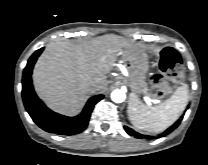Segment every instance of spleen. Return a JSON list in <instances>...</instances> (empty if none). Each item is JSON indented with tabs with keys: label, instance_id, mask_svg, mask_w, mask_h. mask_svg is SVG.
Returning <instances> with one entry per match:
<instances>
[{
	"label": "spleen",
	"instance_id": "3e777b00",
	"mask_svg": "<svg viewBox=\"0 0 208 165\" xmlns=\"http://www.w3.org/2000/svg\"><path fill=\"white\" fill-rule=\"evenodd\" d=\"M188 99L189 89L186 84L178 87L167 101L152 107L143 104L131 94L127 110L128 118L137 129L162 132L178 120Z\"/></svg>",
	"mask_w": 208,
	"mask_h": 165
}]
</instances>
